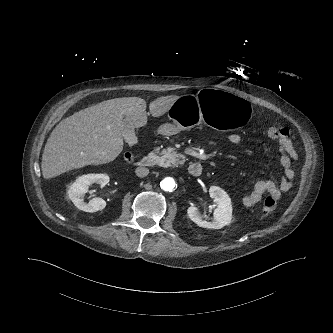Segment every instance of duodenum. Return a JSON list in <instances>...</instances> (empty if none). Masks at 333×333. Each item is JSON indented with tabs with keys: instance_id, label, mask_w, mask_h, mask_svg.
<instances>
[{
	"instance_id": "duodenum-1",
	"label": "duodenum",
	"mask_w": 333,
	"mask_h": 333,
	"mask_svg": "<svg viewBox=\"0 0 333 333\" xmlns=\"http://www.w3.org/2000/svg\"><path fill=\"white\" fill-rule=\"evenodd\" d=\"M156 163V159L154 156H146L138 160L139 168H149L153 167ZM203 168L199 162H192L188 167V172L193 177H198L202 174Z\"/></svg>"
}]
</instances>
